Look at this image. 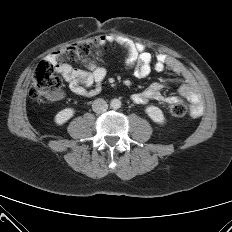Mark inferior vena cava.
Returning a JSON list of instances; mask_svg holds the SVG:
<instances>
[{"instance_id": "1", "label": "inferior vena cava", "mask_w": 232, "mask_h": 232, "mask_svg": "<svg viewBox=\"0 0 232 232\" xmlns=\"http://www.w3.org/2000/svg\"><path fill=\"white\" fill-rule=\"evenodd\" d=\"M92 109L95 113L100 114V113L107 111L108 104L104 99L98 98V99L94 100V102L92 104Z\"/></svg>"}]
</instances>
